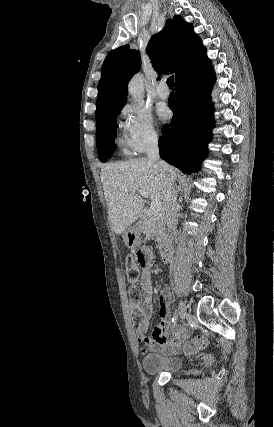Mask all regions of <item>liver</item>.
<instances>
[{
	"mask_svg": "<svg viewBox=\"0 0 274 427\" xmlns=\"http://www.w3.org/2000/svg\"><path fill=\"white\" fill-rule=\"evenodd\" d=\"M161 164L165 162L137 158L105 164L102 168L101 180L108 214L113 231L118 235L142 215L144 200L138 190L148 192L152 202L164 204L165 190L175 182L178 170L169 166L170 172H161Z\"/></svg>",
	"mask_w": 274,
	"mask_h": 427,
	"instance_id": "1",
	"label": "liver"
}]
</instances>
